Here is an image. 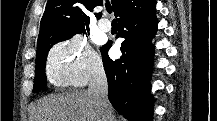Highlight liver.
I'll use <instances>...</instances> for the list:
<instances>
[{
	"label": "liver",
	"instance_id": "1",
	"mask_svg": "<svg viewBox=\"0 0 217 121\" xmlns=\"http://www.w3.org/2000/svg\"><path fill=\"white\" fill-rule=\"evenodd\" d=\"M30 121H102V115L87 91L44 98L32 111Z\"/></svg>",
	"mask_w": 217,
	"mask_h": 121
}]
</instances>
